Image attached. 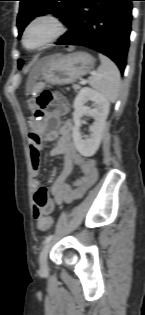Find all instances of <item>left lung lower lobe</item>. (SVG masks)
Wrapping results in <instances>:
<instances>
[{
	"label": "left lung lower lobe",
	"mask_w": 145,
	"mask_h": 315,
	"mask_svg": "<svg viewBox=\"0 0 145 315\" xmlns=\"http://www.w3.org/2000/svg\"><path fill=\"white\" fill-rule=\"evenodd\" d=\"M134 0H76L56 44L80 45L112 59L124 72L129 49Z\"/></svg>",
	"instance_id": "0a47b994"
}]
</instances>
